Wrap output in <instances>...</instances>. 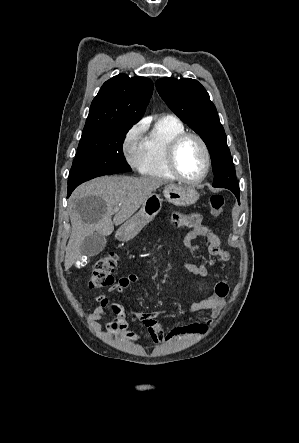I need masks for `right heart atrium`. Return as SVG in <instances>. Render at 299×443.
<instances>
[{
    "instance_id": "right-heart-atrium-1",
    "label": "right heart atrium",
    "mask_w": 299,
    "mask_h": 443,
    "mask_svg": "<svg viewBox=\"0 0 299 443\" xmlns=\"http://www.w3.org/2000/svg\"><path fill=\"white\" fill-rule=\"evenodd\" d=\"M146 130V124L140 121L132 125L125 133L121 147L127 162L135 169H139L142 152L143 136Z\"/></svg>"
}]
</instances>
